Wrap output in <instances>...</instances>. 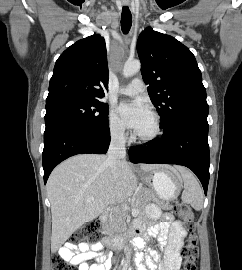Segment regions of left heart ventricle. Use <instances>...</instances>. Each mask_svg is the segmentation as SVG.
Here are the masks:
<instances>
[{
	"mask_svg": "<svg viewBox=\"0 0 242 270\" xmlns=\"http://www.w3.org/2000/svg\"><path fill=\"white\" fill-rule=\"evenodd\" d=\"M153 130V119L150 117V119L146 122V124L138 131L136 134L138 135H148Z\"/></svg>",
	"mask_w": 242,
	"mask_h": 270,
	"instance_id": "left-heart-ventricle-1",
	"label": "left heart ventricle"
}]
</instances>
